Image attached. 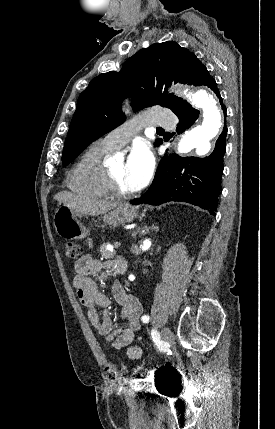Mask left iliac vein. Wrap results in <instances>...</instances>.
Segmentation results:
<instances>
[{"label":"left iliac vein","mask_w":275,"mask_h":429,"mask_svg":"<svg viewBox=\"0 0 275 429\" xmlns=\"http://www.w3.org/2000/svg\"><path fill=\"white\" fill-rule=\"evenodd\" d=\"M161 339H162V342L164 343L165 346H169L173 342L174 335H173L172 331L170 330V328H168V327L162 328Z\"/></svg>","instance_id":"1"}]
</instances>
